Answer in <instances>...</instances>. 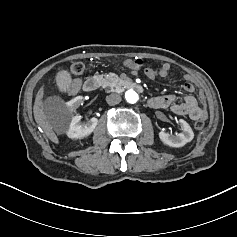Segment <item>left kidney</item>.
I'll return each mask as SVG.
<instances>
[{"label":"left kidney","mask_w":237,"mask_h":237,"mask_svg":"<svg viewBox=\"0 0 237 237\" xmlns=\"http://www.w3.org/2000/svg\"><path fill=\"white\" fill-rule=\"evenodd\" d=\"M181 133L170 135L164 131L159 133L161 141L170 147H182L194 138V132L190 125L183 119L179 120Z\"/></svg>","instance_id":"5707ae66"}]
</instances>
